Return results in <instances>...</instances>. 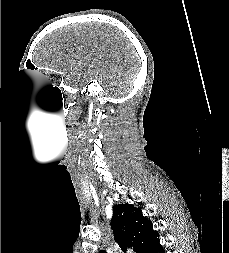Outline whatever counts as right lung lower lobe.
<instances>
[{
	"mask_svg": "<svg viewBox=\"0 0 229 253\" xmlns=\"http://www.w3.org/2000/svg\"><path fill=\"white\" fill-rule=\"evenodd\" d=\"M147 253H165V251L158 240V242L155 243L153 247L147 251Z\"/></svg>",
	"mask_w": 229,
	"mask_h": 253,
	"instance_id": "obj_1",
	"label": "right lung lower lobe"
}]
</instances>
